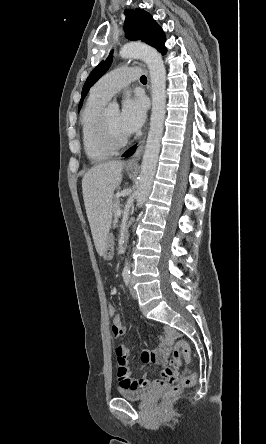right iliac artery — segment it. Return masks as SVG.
<instances>
[{"instance_id": "right-iliac-artery-1", "label": "right iliac artery", "mask_w": 266, "mask_h": 444, "mask_svg": "<svg viewBox=\"0 0 266 444\" xmlns=\"http://www.w3.org/2000/svg\"><path fill=\"white\" fill-rule=\"evenodd\" d=\"M123 280H124L125 284L128 286L130 284V280H131L130 274L123 273Z\"/></svg>"}]
</instances>
